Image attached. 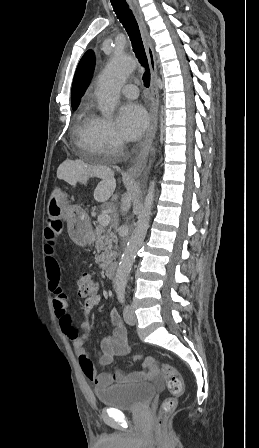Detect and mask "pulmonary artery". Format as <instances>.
I'll return each mask as SVG.
<instances>
[{
	"mask_svg": "<svg viewBox=\"0 0 259 448\" xmlns=\"http://www.w3.org/2000/svg\"><path fill=\"white\" fill-rule=\"evenodd\" d=\"M114 64L117 68L118 73L122 77L126 78L133 72L136 65V59L131 54H121L114 60ZM118 90L120 93L129 98L138 97L137 89L133 84H123L119 86Z\"/></svg>",
	"mask_w": 259,
	"mask_h": 448,
	"instance_id": "1",
	"label": "pulmonary artery"
}]
</instances>
